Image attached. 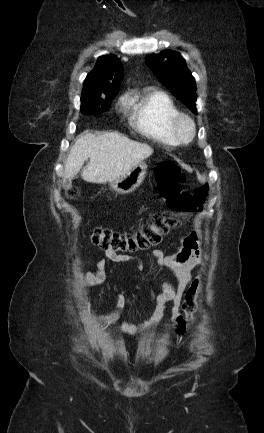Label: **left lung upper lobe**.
<instances>
[{
  "mask_svg": "<svg viewBox=\"0 0 264 433\" xmlns=\"http://www.w3.org/2000/svg\"><path fill=\"white\" fill-rule=\"evenodd\" d=\"M146 63L168 90L197 113L195 79L179 53L165 50L158 55L147 56Z\"/></svg>",
  "mask_w": 264,
  "mask_h": 433,
  "instance_id": "5c2ea615",
  "label": "left lung upper lobe"
}]
</instances>
